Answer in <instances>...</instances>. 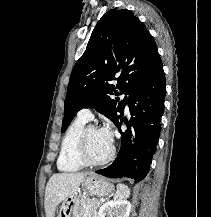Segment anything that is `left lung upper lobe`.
I'll use <instances>...</instances> for the list:
<instances>
[{
    "label": "left lung upper lobe",
    "instance_id": "obj_1",
    "mask_svg": "<svg viewBox=\"0 0 211 217\" xmlns=\"http://www.w3.org/2000/svg\"><path fill=\"white\" fill-rule=\"evenodd\" d=\"M161 65L155 41L145 25L129 10H109L95 26L86 51L72 70L61 131H66L82 108H95L116 124L128 101L125 97L118 103L110 95L130 96ZM112 80L118 84H111Z\"/></svg>",
    "mask_w": 211,
    "mask_h": 217
}]
</instances>
